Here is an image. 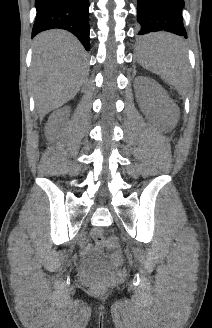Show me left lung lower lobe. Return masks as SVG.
<instances>
[{
	"instance_id": "1",
	"label": "left lung lower lobe",
	"mask_w": 212,
	"mask_h": 328,
	"mask_svg": "<svg viewBox=\"0 0 212 328\" xmlns=\"http://www.w3.org/2000/svg\"><path fill=\"white\" fill-rule=\"evenodd\" d=\"M183 0H138L137 21L141 25L139 35L155 31H168L187 38L183 27ZM150 45L147 37L140 41Z\"/></svg>"
}]
</instances>
